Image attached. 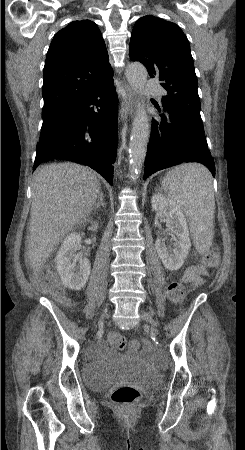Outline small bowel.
Segmentation results:
<instances>
[{"instance_id":"1","label":"small bowel","mask_w":245,"mask_h":450,"mask_svg":"<svg viewBox=\"0 0 245 450\" xmlns=\"http://www.w3.org/2000/svg\"><path fill=\"white\" fill-rule=\"evenodd\" d=\"M207 274V271L204 269L190 267L184 274L183 281L193 285H200Z\"/></svg>"}]
</instances>
